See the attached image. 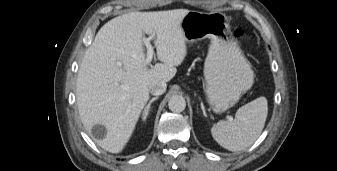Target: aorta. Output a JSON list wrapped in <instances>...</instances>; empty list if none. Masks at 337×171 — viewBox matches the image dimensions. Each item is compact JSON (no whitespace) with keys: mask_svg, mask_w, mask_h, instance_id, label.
<instances>
[{"mask_svg":"<svg viewBox=\"0 0 337 171\" xmlns=\"http://www.w3.org/2000/svg\"><path fill=\"white\" fill-rule=\"evenodd\" d=\"M168 106L172 112L179 113L184 111L186 108V101L184 97L180 95H174L169 99Z\"/></svg>","mask_w":337,"mask_h":171,"instance_id":"obj_1","label":"aorta"}]
</instances>
